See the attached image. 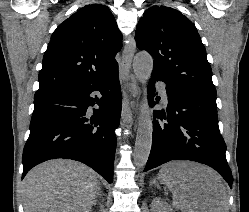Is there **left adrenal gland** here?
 I'll return each instance as SVG.
<instances>
[{
	"mask_svg": "<svg viewBox=\"0 0 249 212\" xmlns=\"http://www.w3.org/2000/svg\"><path fill=\"white\" fill-rule=\"evenodd\" d=\"M151 184H155L157 190H159V188H158V182H155V180H153V182H151Z\"/></svg>",
	"mask_w": 249,
	"mask_h": 212,
	"instance_id": "a2214340",
	"label": "left adrenal gland"
}]
</instances>
